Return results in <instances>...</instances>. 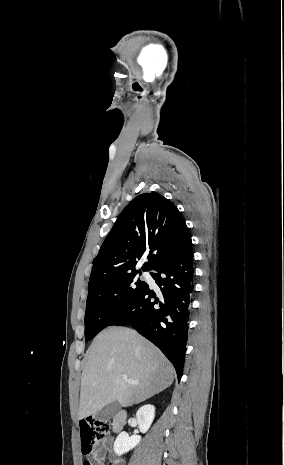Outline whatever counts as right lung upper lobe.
Listing matches in <instances>:
<instances>
[{
  "label": "right lung upper lobe",
  "instance_id": "right-lung-upper-lobe-1",
  "mask_svg": "<svg viewBox=\"0 0 284 465\" xmlns=\"http://www.w3.org/2000/svg\"><path fill=\"white\" fill-rule=\"evenodd\" d=\"M191 238L177 209L158 193H144L123 210L93 260L88 290L136 270L137 260L148 255L142 270H153Z\"/></svg>",
  "mask_w": 284,
  "mask_h": 465
}]
</instances>
